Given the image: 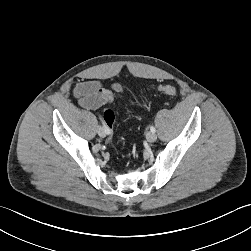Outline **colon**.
I'll list each match as a JSON object with an SVG mask.
<instances>
[{
    "label": "colon",
    "mask_w": 251,
    "mask_h": 251,
    "mask_svg": "<svg viewBox=\"0 0 251 251\" xmlns=\"http://www.w3.org/2000/svg\"><path fill=\"white\" fill-rule=\"evenodd\" d=\"M158 90L169 96H175L177 94L176 88L171 85H161L158 87ZM103 117L106 123L111 127L115 121L114 111L110 108L106 109L103 113Z\"/></svg>",
    "instance_id": "5ec220e1"
}]
</instances>
